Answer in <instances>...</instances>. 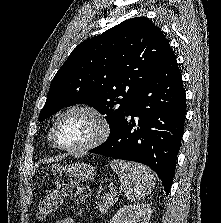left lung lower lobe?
Returning <instances> with one entry per match:
<instances>
[{"label": "left lung lower lobe", "instance_id": "0a47b994", "mask_svg": "<svg viewBox=\"0 0 221 223\" xmlns=\"http://www.w3.org/2000/svg\"><path fill=\"white\" fill-rule=\"evenodd\" d=\"M185 115L182 75L169 48L161 69L135 96L116 131L89 152L149 166L158 174L168 195Z\"/></svg>", "mask_w": 221, "mask_h": 223}]
</instances>
